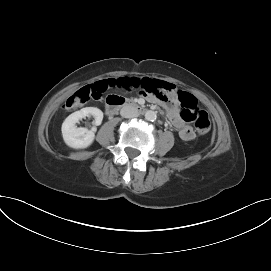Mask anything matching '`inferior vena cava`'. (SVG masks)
Masks as SVG:
<instances>
[{
    "label": "inferior vena cava",
    "mask_w": 271,
    "mask_h": 271,
    "mask_svg": "<svg viewBox=\"0 0 271 271\" xmlns=\"http://www.w3.org/2000/svg\"><path fill=\"white\" fill-rule=\"evenodd\" d=\"M120 114L124 118H133L138 115L137 111L130 105L123 106L120 111Z\"/></svg>",
    "instance_id": "obj_1"
}]
</instances>
